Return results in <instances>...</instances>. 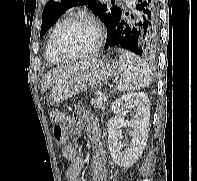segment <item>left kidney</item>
Returning <instances> with one entry per match:
<instances>
[{"label":"left kidney","mask_w":197,"mask_h":181,"mask_svg":"<svg viewBox=\"0 0 197 181\" xmlns=\"http://www.w3.org/2000/svg\"><path fill=\"white\" fill-rule=\"evenodd\" d=\"M136 108L134 120L124 119L127 109ZM150 102L144 92L122 95L112 103L114 116L108 121V144L113 161L121 167H130L141 156L146 146L149 130ZM132 129L131 143L123 150L121 126Z\"/></svg>","instance_id":"obj_1"}]
</instances>
